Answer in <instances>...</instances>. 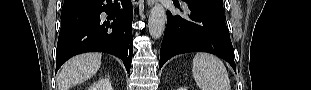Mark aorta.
<instances>
[{
	"instance_id": "1",
	"label": "aorta",
	"mask_w": 311,
	"mask_h": 90,
	"mask_svg": "<svg viewBox=\"0 0 311 90\" xmlns=\"http://www.w3.org/2000/svg\"><path fill=\"white\" fill-rule=\"evenodd\" d=\"M166 25V12L161 4H155L149 15V34L154 39H159L164 33Z\"/></svg>"
}]
</instances>
